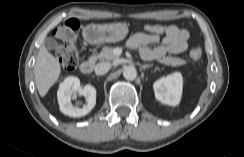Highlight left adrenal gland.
Returning <instances> with one entry per match:
<instances>
[{
	"mask_svg": "<svg viewBox=\"0 0 244 157\" xmlns=\"http://www.w3.org/2000/svg\"><path fill=\"white\" fill-rule=\"evenodd\" d=\"M152 66H153V64H144V65H141V69L145 70V69L152 67Z\"/></svg>",
	"mask_w": 244,
	"mask_h": 157,
	"instance_id": "obj_1",
	"label": "left adrenal gland"
}]
</instances>
